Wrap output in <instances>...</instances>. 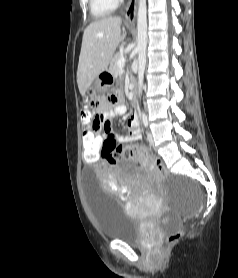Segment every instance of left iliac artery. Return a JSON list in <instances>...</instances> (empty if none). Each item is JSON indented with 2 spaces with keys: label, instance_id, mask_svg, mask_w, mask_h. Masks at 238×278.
Masks as SVG:
<instances>
[{
  "label": "left iliac artery",
  "instance_id": "left-iliac-artery-1",
  "mask_svg": "<svg viewBox=\"0 0 238 278\" xmlns=\"http://www.w3.org/2000/svg\"><path fill=\"white\" fill-rule=\"evenodd\" d=\"M142 120H143V124L145 127L148 126V120H147V116L145 114L142 115Z\"/></svg>",
  "mask_w": 238,
  "mask_h": 278
}]
</instances>
